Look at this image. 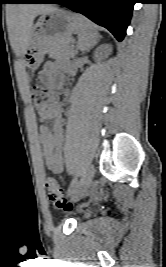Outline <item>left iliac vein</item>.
<instances>
[{"label":"left iliac vein","instance_id":"obj_1","mask_svg":"<svg viewBox=\"0 0 166 267\" xmlns=\"http://www.w3.org/2000/svg\"><path fill=\"white\" fill-rule=\"evenodd\" d=\"M93 177H94V168L90 166L89 168H87L83 177L78 182L76 188L71 194V200L73 202H77L84 197V195L86 194V192L88 191V189L92 184Z\"/></svg>","mask_w":166,"mask_h":267}]
</instances>
